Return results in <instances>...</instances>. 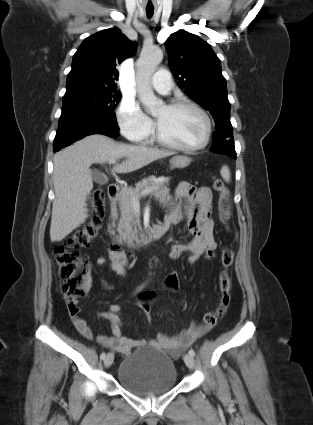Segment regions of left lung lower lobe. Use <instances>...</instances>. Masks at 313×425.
Returning a JSON list of instances; mask_svg holds the SVG:
<instances>
[{
  "mask_svg": "<svg viewBox=\"0 0 313 425\" xmlns=\"http://www.w3.org/2000/svg\"><path fill=\"white\" fill-rule=\"evenodd\" d=\"M215 153L231 155L236 158L232 130H217L213 137V146L211 148Z\"/></svg>",
  "mask_w": 313,
  "mask_h": 425,
  "instance_id": "obj_1",
  "label": "left lung lower lobe"
}]
</instances>
